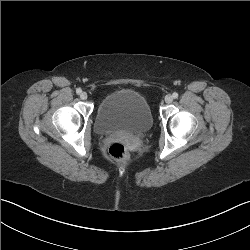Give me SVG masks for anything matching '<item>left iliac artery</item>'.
I'll return each instance as SVG.
<instances>
[{"label": "left iliac artery", "mask_w": 250, "mask_h": 250, "mask_svg": "<svg viewBox=\"0 0 250 250\" xmlns=\"http://www.w3.org/2000/svg\"><path fill=\"white\" fill-rule=\"evenodd\" d=\"M172 96H173L174 99H176V98H178V93L174 92V93L172 94Z\"/></svg>", "instance_id": "1"}]
</instances>
